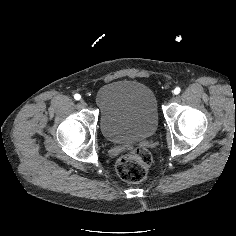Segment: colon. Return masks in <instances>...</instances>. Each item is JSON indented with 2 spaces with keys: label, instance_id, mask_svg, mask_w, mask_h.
<instances>
[{
  "label": "colon",
  "instance_id": "1",
  "mask_svg": "<svg viewBox=\"0 0 236 236\" xmlns=\"http://www.w3.org/2000/svg\"><path fill=\"white\" fill-rule=\"evenodd\" d=\"M151 162V154L146 149H137L117 161L116 171L126 182L138 183L147 176Z\"/></svg>",
  "mask_w": 236,
  "mask_h": 236
}]
</instances>
